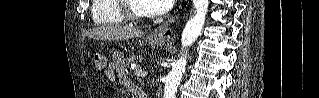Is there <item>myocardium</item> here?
Wrapping results in <instances>:
<instances>
[{"instance_id": "1", "label": "myocardium", "mask_w": 319, "mask_h": 98, "mask_svg": "<svg viewBox=\"0 0 319 98\" xmlns=\"http://www.w3.org/2000/svg\"><path fill=\"white\" fill-rule=\"evenodd\" d=\"M119 10L126 21L139 22L147 19L146 13H136L132 10L131 0H118Z\"/></svg>"}]
</instances>
